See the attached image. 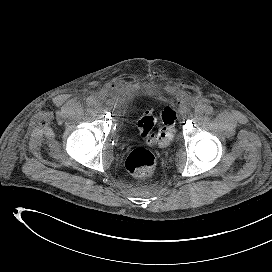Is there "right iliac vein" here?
I'll return each instance as SVG.
<instances>
[{
	"mask_svg": "<svg viewBox=\"0 0 272 272\" xmlns=\"http://www.w3.org/2000/svg\"><path fill=\"white\" fill-rule=\"evenodd\" d=\"M94 107L97 110H99L101 108V102H100V100L97 99V100L94 101Z\"/></svg>",
	"mask_w": 272,
	"mask_h": 272,
	"instance_id": "63e3f726",
	"label": "right iliac vein"
}]
</instances>
